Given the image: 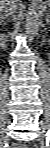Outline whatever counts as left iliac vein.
<instances>
[{
  "label": "left iliac vein",
  "mask_w": 50,
  "mask_h": 148,
  "mask_svg": "<svg viewBox=\"0 0 50 148\" xmlns=\"http://www.w3.org/2000/svg\"><path fill=\"white\" fill-rule=\"evenodd\" d=\"M46 127H47L46 124H42V128H43V129H46ZM38 140L42 142V141H43V136H40V137L38 138Z\"/></svg>",
  "instance_id": "1"
}]
</instances>
